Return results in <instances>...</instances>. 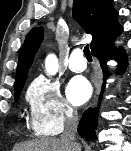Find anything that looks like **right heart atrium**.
Returning <instances> with one entry per match:
<instances>
[{
	"label": "right heart atrium",
	"mask_w": 131,
	"mask_h": 151,
	"mask_svg": "<svg viewBox=\"0 0 131 151\" xmlns=\"http://www.w3.org/2000/svg\"><path fill=\"white\" fill-rule=\"evenodd\" d=\"M26 99L32 128L38 135L59 134L75 117V110L63 97L59 84L49 78H35L27 89Z\"/></svg>",
	"instance_id": "d8ad5b80"
}]
</instances>
